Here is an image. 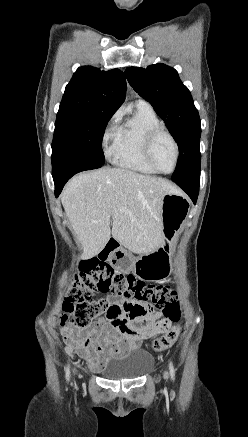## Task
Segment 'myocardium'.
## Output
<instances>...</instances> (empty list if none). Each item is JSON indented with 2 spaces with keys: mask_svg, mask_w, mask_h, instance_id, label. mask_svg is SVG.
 Masks as SVG:
<instances>
[{
  "mask_svg": "<svg viewBox=\"0 0 248 437\" xmlns=\"http://www.w3.org/2000/svg\"><path fill=\"white\" fill-rule=\"evenodd\" d=\"M161 135H166L171 142L173 143L174 149H175V160H174V165L172 170H170L169 172H164L162 170L159 169V167L157 166V164L155 163L154 157H153V148H154V144L157 140V138ZM143 151H144V156L145 159L147 161V163L157 172L160 174H171L173 173L177 166H178V162H179V158H180V148H179V144L175 138V136L168 131L167 129H165L162 126H158L153 128L152 130H150L148 132V134L146 135L145 141H144V146H143Z\"/></svg>",
  "mask_w": 248,
  "mask_h": 437,
  "instance_id": "obj_1",
  "label": "myocardium"
}]
</instances>
